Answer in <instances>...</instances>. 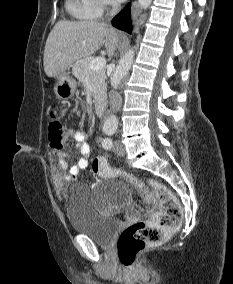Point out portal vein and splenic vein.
I'll use <instances>...</instances> for the list:
<instances>
[{"instance_id": "obj_1", "label": "portal vein and splenic vein", "mask_w": 233, "mask_h": 284, "mask_svg": "<svg viewBox=\"0 0 233 284\" xmlns=\"http://www.w3.org/2000/svg\"><path fill=\"white\" fill-rule=\"evenodd\" d=\"M105 65H106V60L103 57L95 58L89 64L90 69L92 70H101L105 67Z\"/></svg>"}]
</instances>
